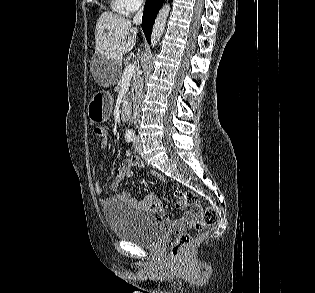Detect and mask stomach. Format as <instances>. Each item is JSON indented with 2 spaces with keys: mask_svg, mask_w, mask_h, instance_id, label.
I'll list each match as a JSON object with an SVG mask.
<instances>
[{
  "mask_svg": "<svg viewBox=\"0 0 315 293\" xmlns=\"http://www.w3.org/2000/svg\"><path fill=\"white\" fill-rule=\"evenodd\" d=\"M113 98L107 92H97L88 105V116L93 122L106 121L112 111Z\"/></svg>",
  "mask_w": 315,
  "mask_h": 293,
  "instance_id": "0dacf381",
  "label": "stomach"
}]
</instances>
